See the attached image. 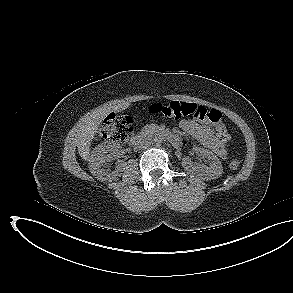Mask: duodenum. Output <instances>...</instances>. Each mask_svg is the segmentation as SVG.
Masks as SVG:
<instances>
[{"mask_svg": "<svg viewBox=\"0 0 293 293\" xmlns=\"http://www.w3.org/2000/svg\"><path fill=\"white\" fill-rule=\"evenodd\" d=\"M150 133H156V134H159V135L165 137L174 146H179L180 145V140H179V138L175 134H173L170 131L164 130V129H155V128H150L146 132H143L141 134H138V135L134 136L131 139L130 144L132 146H139L144 141V139L146 138V136L148 134H150Z\"/></svg>", "mask_w": 293, "mask_h": 293, "instance_id": "duodenum-1", "label": "duodenum"}]
</instances>
